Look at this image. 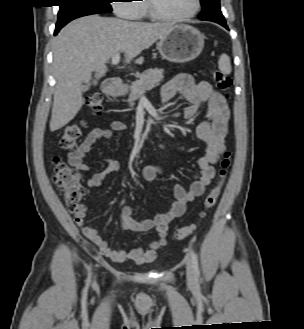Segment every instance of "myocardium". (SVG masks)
<instances>
[{
	"instance_id": "myocardium-1",
	"label": "myocardium",
	"mask_w": 304,
	"mask_h": 329,
	"mask_svg": "<svg viewBox=\"0 0 304 329\" xmlns=\"http://www.w3.org/2000/svg\"><path fill=\"white\" fill-rule=\"evenodd\" d=\"M145 2H146L148 14L151 16V18L157 21H164V22H180L187 20L189 18L194 17L201 8V0H194V7L189 13L179 16H170L161 13L158 10L154 0H145Z\"/></svg>"
}]
</instances>
